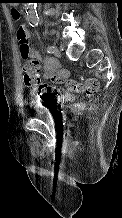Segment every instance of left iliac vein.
Here are the masks:
<instances>
[{
  "mask_svg": "<svg viewBox=\"0 0 122 218\" xmlns=\"http://www.w3.org/2000/svg\"><path fill=\"white\" fill-rule=\"evenodd\" d=\"M54 55L56 56V57H61V52L56 48V47H54Z\"/></svg>",
  "mask_w": 122,
  "mask_h": 218,
  "instance_id": "left-iliac-vein-1",
  "label": "left iliac vein"
}]
</instances>
